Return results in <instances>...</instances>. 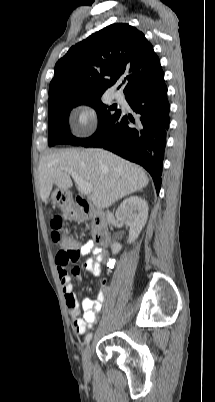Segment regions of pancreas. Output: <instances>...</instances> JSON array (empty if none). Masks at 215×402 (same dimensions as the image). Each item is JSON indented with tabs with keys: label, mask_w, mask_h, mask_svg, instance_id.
Here are the masks:
<instances>
[{
	"label": "pancreas",
	"mask_w": 215,
	"mask_h": 402,
	"mask_svg": "<svg viewBox=\"0 0 215 402\" xmlns=\"http://www.w3.org/2000/svg\"><path fill=\"white\" fill-rule=\"evenodd\" d=\"M92 234L93 235L96 234V226L94 224H92Z\"/></svg>",
	"instance_id": "1"
}]
</instances>
